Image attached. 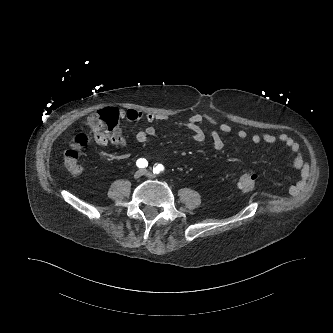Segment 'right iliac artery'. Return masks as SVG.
Instances as JSON below:
<instances>
[{
    "mask_svg": "<svg viewBox=\"0 0 333 333\" xmlns=\"http://www.w3.org/2000/svg\"><path fill=\"white\" fill-rule=\"evenodd\" d=\"M137 167L146 168L148 166V161L144 158H140L136 162Z\"/></svg>",
    "mask_w": 333,
    "mask_h": 333,
    "instance_id": "1",
    "label": "right iliac artery"
}]
</instances>
